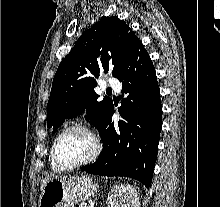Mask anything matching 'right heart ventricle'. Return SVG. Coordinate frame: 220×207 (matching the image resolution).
<instances>
[{
  "label": "right heart ventricle",
  "instance_id": "right-heart-ventricle-1",
  "mask_svg": "<svg viewBox=\"0 0 220 207\" xmlns=\"http://www.w3.org/2000/svg\"><path fill=\"white\" fill-rule=\"evenodd\" d=\"M50 159H51V167L53 170H60L53 162L52 158H51V154H50Z\"/></svg>",
  "mask_w": 220,
  "mask_h": 207
}]
</instances>
